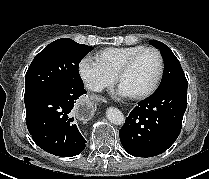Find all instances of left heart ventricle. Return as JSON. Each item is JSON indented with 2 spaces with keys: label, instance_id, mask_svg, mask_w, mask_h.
<instances>
[{
  "label": "left heart ventricle",
  "instance_id": "obj_1",
  "mask_svg": "<svg viewBox=\"0 0 209 179\" xmlns=\"http://www.w3.org/2000/svg\"><path fill=\"white\" fill-rule=\"evenodd\" d=\"M159 69L158 57L153 52L142 54L119 81L129 95L146 90L155 80Z\"/></svg>",
  "mask_w": 209,
  "mask_h": 179
}]
</instances>
